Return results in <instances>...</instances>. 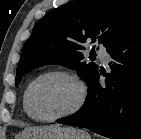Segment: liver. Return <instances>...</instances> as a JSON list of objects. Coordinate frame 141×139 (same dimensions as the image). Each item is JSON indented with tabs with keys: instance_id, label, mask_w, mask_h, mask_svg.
<instances>
[{
	"instance_id": "6515ba94",
	"label": "liver",
	"mask_w": 141,
	"mask_h": 139,
	"mask_svg": "<svg viewBox=\"0 0 141 139\" xmlns=\"http://www.w3.org/2000/svg\"><path fill=\"white\" fill-rule=\"evenodd\" d=\"M32 129H34V128H27V129H25V131H29V130H32Z\"/></svg>"
}]
</instances>
